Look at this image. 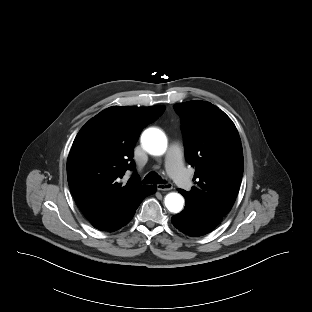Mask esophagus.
<instances>
[{
    "label": "esophagus",
    "mask_w": 312,
    "mask_h": 312,
    "mask_svg": "<svg viewBox=\"0 0 312 312\" xmlns=\"http://www.w3.org/2000/svg\"><path fill=\"white\" fill-rule=\"evenodd\" d=\"M173 188V185L171 183H166V184H158L157 189L160 191H168Z\"/></svg>",
    "instance_id": "obj_1"
}]
</instances>
